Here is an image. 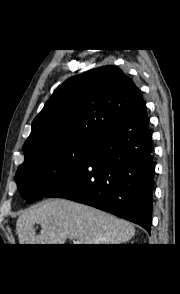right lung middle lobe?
Wrapping results in <instances>:
<instances>
[{
    "label": "right lung middle lobe",
    "mask_w": 180,
    "mask_h": 294,
    "mask_svg": "<svg viewBox=\"0 0 180 294\" xmlns=\"http://www.w3.org/2000/svg\"><path fill=\"white\" fill-rule=\"evenodd\" d=\"M95 142L71 141L45 147L24 161L16 183L28 203L46 197L71 177L90 154Z\"/></svg>",
    "instance_id": "1"
}]
</instances>
